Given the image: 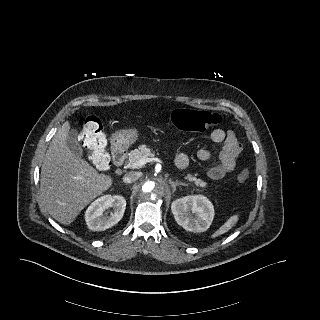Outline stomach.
Listing matches in <instances>:
<instances>
[{"instance_id":"0dacf381","label":"stomach","mask_w":320,"mask_h":320,"mask_svg":"<svg viewBox=\"0 0 320 320\" xmlns=\"http://www.w3.org/2000/svg\"><path fill=\"white\" fill-rule=\"evenodd\" d=\"M138 131L136 129H123L112 135L111 141L115 148L126 149L136 142Z\"/></svg>"}]
</instances>
